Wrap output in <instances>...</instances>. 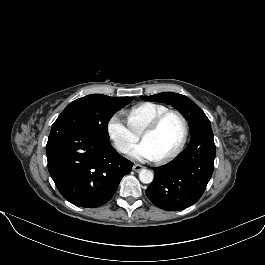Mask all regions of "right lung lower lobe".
Segmentation results:
<instances>
[{"label":"right lung lower lobe","mask_w":265,"mask_h":265,"mask_svg":"<svg viewBox=\"0 0 265 265\" xmlns=\"http://www.w3.org/2000/svg\"><path fill=\"white\" fill-rule=\"evenodd\" d=\"M46 155L57 189L80 207H99L109 201L133 166L109 141L77 128L50 132Z\"/></svg>","instance_id":"1"}]
</instances>
